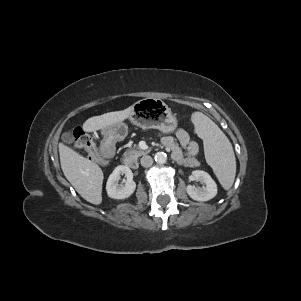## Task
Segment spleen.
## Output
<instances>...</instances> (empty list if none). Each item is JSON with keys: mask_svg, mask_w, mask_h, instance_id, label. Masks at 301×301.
I'll list each match as a JSON object with an SVG mask.
<instances>
[{"mask_svg": "<svg viewBox=\"0 0 301 301\" xmlns=\"http://www.w3.org/2000/svg\"><path fill=\"white\" fill-rule=\"evenodd\" d=\"M191 120L204 140L205 156L225 190L231 188L236 174V160L232 145L220 128L206 115L194 112Z\"/></svg>", "mask_w": 301, "mask_h": 301, "instance_id": "obj_1", "label": "spleen"}]
</instances>
